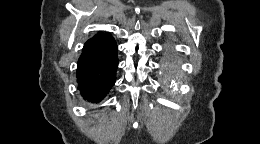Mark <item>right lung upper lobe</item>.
Masks as SVG:
<instances>
[{
    "label": "right lung upper lobe",
    "instance_id": "right-lung-upper-lobe-1",
    "mask_svg": "<svg viewBox=\"0 0 260 144\" xmlns=\"http://www.w3.org/2000/svg\"><path fill=\"white\" fill-rule=\"evenodd\" d=\"M101 34H104V33H100L99 35H101ZM96 36H98V35H96Z\"/></svg>",
    "mask_w": 260,
    "mask_h": 144
}]
</instances>
